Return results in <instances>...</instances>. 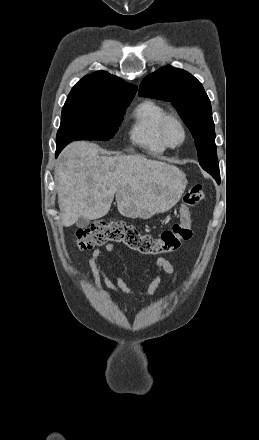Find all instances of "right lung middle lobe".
<instances>
[{
    "instance_id": "1",
    "label": "right lung middle lobe",
    "mask_w": 259,
    "mask_h": 440,
    "mask_svg": "<svg viewBox=\"0 0 259 440\" xmlns=\"http://www.w3.org/2000/svg\"><path fill=\"white\" fill-rule=\"evenodd\" d=\"M131 101L132 98H128L108 106L66 101L56 145L65 147L75 140L107 141L113 138Z\"/></svg>"
}]
</instances>
